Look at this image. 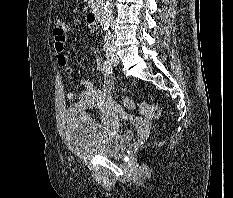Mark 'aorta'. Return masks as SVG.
I'll return each mask as SVG.
<instances>
[{
	"label": "aorta",
	"instance_id": "762f6f07",
	"mask_svg": "<svg viewBox=\"0 0 233 198\" xmlns=\"http://www.w3.org/2000/svg\"><path fill=\"white\" fill-rule=\"evenodd\" d=\"M113 7L114 6L112 0H106V4L104 6V10L102 12L101 21H100V25L104 30L109 28L113 16Z\"/></svg>",
	"mask_w": 233,
	"mask_h": 198
}]
</instances>
